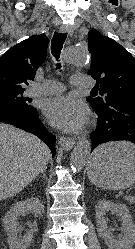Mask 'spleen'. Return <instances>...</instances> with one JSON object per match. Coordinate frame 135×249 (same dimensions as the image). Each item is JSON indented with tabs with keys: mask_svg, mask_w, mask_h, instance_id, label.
<instances>
[{
	"mask_svg": "<svg viewBox=\"0 0 135 249\" xmlns=\"http://www.w3.org/2000/svg\"><path fill=\"white\" fill-rule=\"evenodd\" d=\"M117 147L125 150H129L131 148V143L119 142L117 143Z\"/></svg>",
	"mask_w": 135,
	"mask_h": 249,
	"instance_id": "1",
	"label": "spleen"
}]
</instances>
